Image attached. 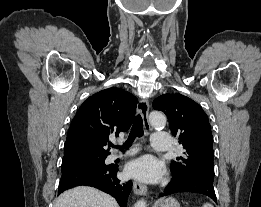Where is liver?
Instances as JSON below:
<instances>
[{"label": "liver", "instance_id": "liver-1", "mask_svg": "<svg viewBox=\"0 0 261 207\" xmlns=\"http://www.w3.org/2000/svg\"><path fill=\"white\" fill-rule=\"evenodd\" d=\"M54 207H119L116 200L92 187L78 186L63 192Z\"/></svg>", "mask_w": 261, "mask_h": 207}]
</instances>
